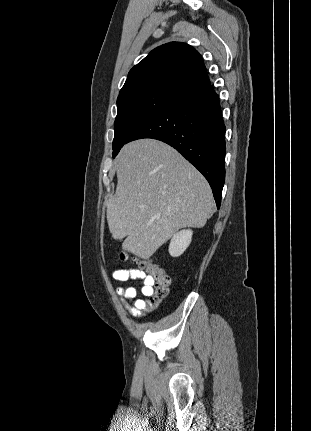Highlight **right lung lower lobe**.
Here are the masks:
<instances>
[{"label": "right lung lower lobe", "mask_w": 311, "mask_h": 431, "mask_svg": "<svg viewBox=\"0 0 311 431\" xmlns=\"http://www.w3.org/2000/svg\"><path fill=\"white\" fill-rule=\"evenodd\" d=\"M141 138L163 141L181 153L208 180L220 207L225 181V125L218 96L210 84L162 108L142 123L128 142Z\"/></svg>", "instance_id": "right-lung-lower-lobe-1"}]
</instances>
